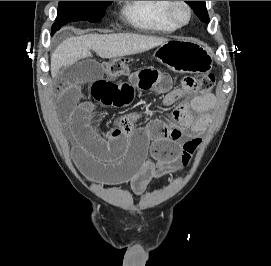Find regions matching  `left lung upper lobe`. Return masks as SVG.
Here are the masks:
<instances>
[{"label": "left lung upper lobe", "instance_id": "left-lung-upper-lobe-1", "mask_svg": "<svg viewBox=\"0 0 271 266\" xmlns=\"http://www.w3.org/2000/svg\"><path fill=\"white\" fill-rule=\"evenodd\" d=\"M203 22H209L205 1H185Z\"/></svg>", "mask_w": 271, "mask_h": 266}]
</instances>
